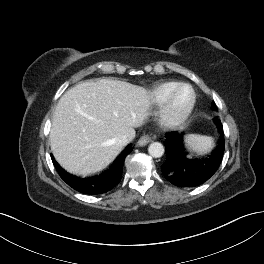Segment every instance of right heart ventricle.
Here are the masks:
<instances>
[{
    "label": "right heart ventricle",
    "instance_id": "right-heart-ventricle-1",
    "mask_svg": "<svg viewBox=\"0 0 264 264\" xmlns=\"http://www.w3.org/2000/svg\"><path fill=\"white\" fill-rule=\"evenodd\" d=\"M179 83L176 81H165L156 85L150 95L151 99L156 104H163L165 99L167 98L168 94L174 89Z\"/></svg>",
    "mask_w": 264,
    "mask_h": 264
}]
</instances>
